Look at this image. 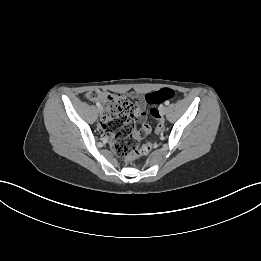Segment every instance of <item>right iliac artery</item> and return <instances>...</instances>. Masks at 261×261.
<instances>
[{
    "label": "right iliac artery",
    "mask_w": 261,
    "mask_h": 261,
    "mask_svg": "<svg viewBox=\"0 0 261 261\" xmlns=\"http://www.w3.org/2000/svg\"><path fill=\"white\" fill-rule=\"evenodd\" d=\"M97 107H101V104L99 102L96 103Z\"/></svg>",
    "instance_id": "1"
}]
</instances>
